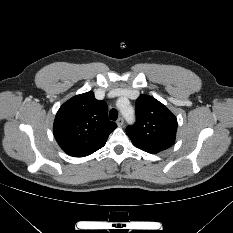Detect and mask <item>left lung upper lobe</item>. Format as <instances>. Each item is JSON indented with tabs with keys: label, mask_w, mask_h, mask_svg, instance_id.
Masks as SVG:
<instances>
[{
	"label": "left lung upper lobe",
	"mask_w": 233,
	"mask_h": 233,
	"mask_svg": "<svg viewBox=\"0 0 233 233\" xmlns=\"http://www.w3.org/2000/svg\"><path fill=\"white\" fill-rule=\"evenodd\" d=\"M176 131V117L161 102L147 95L137 99L136 123L126 128L136 147L158 153L172 146Z\"/></svg>",
	"instance_id": "obj_1"
}]
</instances>
